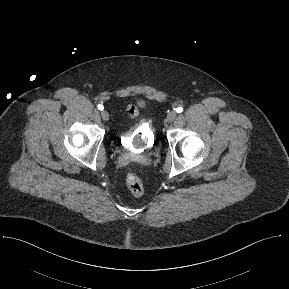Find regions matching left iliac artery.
<instances>
[{
    "instance_id": "1",
    "label": "left iliac artery",
    "mask_w": 289,
    "mask_h": 289,
    "mask_svg": "<svg viewBox=\"0 0 289 289\" xmlns=\"http://www.w3.org/2000/svg\"><path fill=\"white\" fill-rule=\"evenodd\" d=\"M177 113H181L183 111L182 107H178L175 109ZM169 120V118L167 117V121Z\"/></svg>"
}]
</instances>
